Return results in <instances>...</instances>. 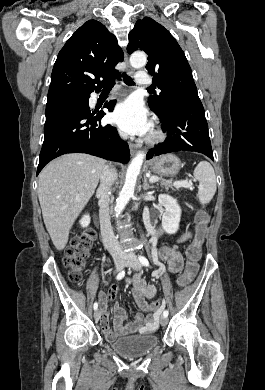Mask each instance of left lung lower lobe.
<instances>
[{
    "instance_id": "left-lung-lower-lobe-1",
    "label": "left lung lower lobe",
    "mask_w": 265,
    "mask_h": 390,
    "mask_svg": "<svg viewBox=\"0 0 265 390\" xmlns=\"http://www.w3.org/2000/svg\"><path fill=\"white\" fill-rule=\"evenodd\" d=\"M167 132L166 140L147 154V159L177 151L199 152L210 159L213 151L205 111L199 97L173 100L164 116L156 114Z\"/></svg>"
}]
</instances>
